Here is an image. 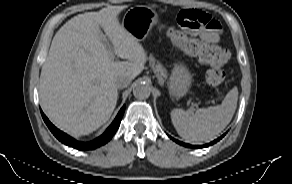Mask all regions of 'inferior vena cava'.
<instances>
[{"mask_svg":"<svg viewBox=\"0 0 292 184\" xmlns=\"http://www.w3.org/2000/svg\"><path fill=\"white\" fill-rule=\"evenodd\" d=\"M131 83V79L126 76L119 77L116 81L117 88H125Z\"/></svg>","mask_w":292,"mask_h":184,"instance_id":"1","label":"inferior vena cava"}]
</instances>
